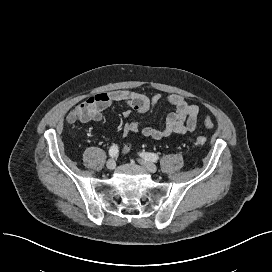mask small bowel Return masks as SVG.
<instances>
[{"label":"small bowel","mask_w":272,"mask_h":272,"mask_svg":"<svg viewBox=\"0 0 272 272\" xmlns=\"http://www.w3.org/2000/svg\"><path fill=\"white\" fill-rule=\"evenodd\" d=\"M162 100L160 93L149 97L145 94L132 90H114L107 93H98L88 96L80 104L74 107L67 115V122H87L101 121L103 111L113 102L123 103L127 108L123 111V116L128 117L131 110H135L139 115H146L155 108ZM166 102L174 107L165 119L164 123L158 127L142 126L137 121H131L123 127V136L140 133L144 137L160 140L172 134H187L193 132L197 126L199 108L189 103L179 94H170L166 97ZM206 127L212 126V121L206 117L204 119ZM130 145L123 147V152H128Z\"/></svg>","instance_id":"c3829d8e"}]
</instances>
